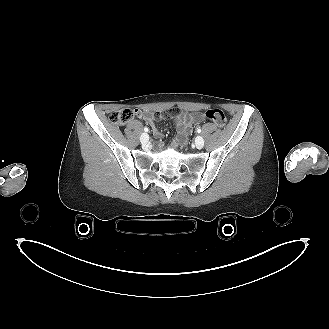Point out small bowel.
I'll use <instances>...</instances> for the list:
<instances>
[{
    "mask_svg": "<svg viewBox=\"0 0 329 329\" xmlns=\"http://www.w3.org/2000/svg\"><path fill=\"white\" fill-rule=\"evenodd\" d=\"M168 113L174 114L173 120L177 128V137L174 141V146L182 147L185 144L188 135L192 132L193 126L200 122L202 118L196 113H179V110L176 107H173ZM166 114L165 111H160L156 114L147 112L140 113L139 117L151 125L153 135L156 138H161L162 133L156 125V119L164 118Z\"/></svg>",
    "mask_w": 329,
    "mask_h": 329,
    "instance_id": "obj_1",
    "label": "small bowel"
}]
</instances>
